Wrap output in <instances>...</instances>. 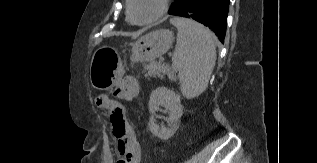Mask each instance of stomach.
<instances>
[{
    "instance_id": "obj_1",
    "label": "stomach",
    "mask_w": 317,
    "mask_h": 163,
    "mask_svg": "<svg viewBox=\"0 0 317 163\" xmlns=\"http://www.w3.org/2000/svg\"><path fill=\"white\" fill-rule=\"evenodd\" d=\"M174 41L168 29H159L139 38L132 46L131 60L152 61L165 54ZM124 73V65L117 52L101 47L94 53L90 64V81L94 88L109 90Z\"/></svg>"
}]
</instances>
